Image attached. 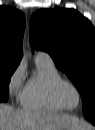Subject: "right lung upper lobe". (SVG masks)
Segmentation results:
<instances>
[{"label":"right lung upper lobe","mask_w":95,"mask_h":130,"mask_svg":"<svg viewBox=\"0 0 95 130\" xmlns=\"http://www.w3.org/2000/svg\"><path fill=\"white\" fill-rule=\"evenodd\" d=\"M25 16L13 7H0V65L18 66Z\"/></svg>","instance_id":"cb5924a9"}]
</instances>
